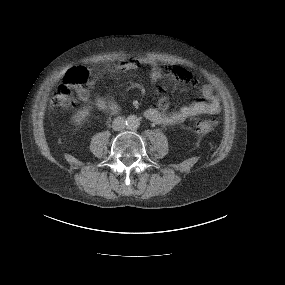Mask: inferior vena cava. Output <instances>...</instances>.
<instances>
[{"instance_id": "obj_1", "label": "inferior vena cava", "mask_w": 285, "mask_h": 285, "mask_svg": "<svg viewBox=\"0 0 285 285\" xmlns=\"http://www.w3.org/2000/svg\"><path fill=\"white\" fill-rule=\"evenodd\" d=\"M112 128L115 131H123L126 129V119L124 117H117L114 119Z\"/></svg>"}]
</instances>
